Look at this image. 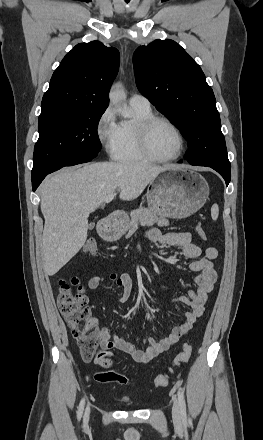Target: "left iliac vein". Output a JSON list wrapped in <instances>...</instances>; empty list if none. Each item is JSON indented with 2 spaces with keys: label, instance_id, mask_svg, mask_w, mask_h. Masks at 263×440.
I'll list each match as a JSON object with an SVG mask.
<instances>
[{
  "label": "left iliac vein",
  "instance_id": "obj_1",
  "mask_svg": "<svg viewBox=\"0 0 263 440\" xmlns=\"http://www.w3.org/2000/svg\"><path fill=\"white\" fill-rule=\"evenodd\" d=\"M172 417L175 423H181L182 414L179 402L177 399H174L173 407H172Z\"/></svg>",
  "mask_w": 263,
  "mask_h": 440
}]
</instances>
